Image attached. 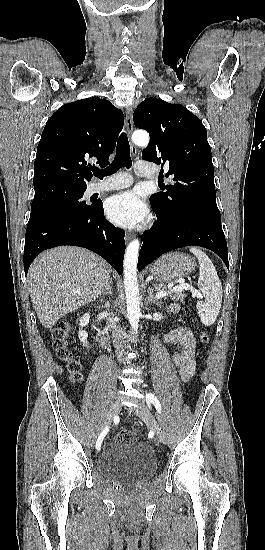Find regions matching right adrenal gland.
I'll return each instance as SVG.
<instances>
[{"label": "right adrenal gland", "mask_w": 265, "mask_h": 550, "mask_svg": "<svg viewBox=\"0 0 265 550\" xmlns=\"http://www.w3.org/2000/svg\"><path fill=\"white\" fill-rule=\"evenodd\" d=\"M111 284H112V281L109 282V284L107 285V287L105 288V291L104 293H102V296H106V295H112V291H111ZM109 304V301H106V305Z\"/></svg>", "instance_id": "obj_1"}]
</instances>
